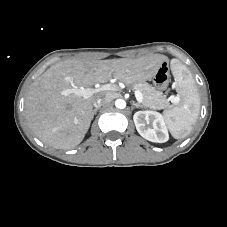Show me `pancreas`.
Masks as SVG:
<instances>
[{
    "instance_id": "pancreas-1",
    "label": "pancreas",
    "mask_w": 227,
    "mask_h": 227,
    "mask_svg": "<svg viewBox=\"0 0 227 227\" xmlns=\"http://www.w3.org/2000/svg\"><path fill=\"white\" fill-rule=\"evenodd\" d=\"M134 89L140 91L143 96L142 105L145 108H150L154 110L164 109L168 106V99L162 94V92L157 91L154 87L146 82H137L133 85Z\"/></svg>"
}]
</instances>
